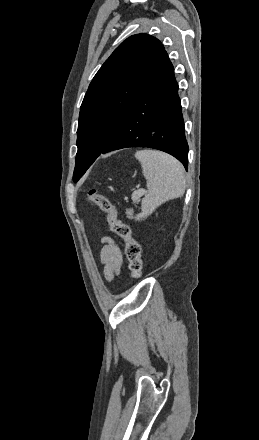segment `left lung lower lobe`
I'll list each match as a JSON object with an SVG mask.
<instances>
[{"label":"left lung lower lobe","mask_w":259,"mask_h":440,"mask_svg":"<svg viewBox=\"0 0 259 440\" xmlns=\"http://www.w3.org/2000/svg\"><path fill=\"white\" fill-rule=\"evenodd\" d=\"M127 147L164 151L177 158L187 170L188 144L178 84L165 50L148 84L100 154Z\"/></svg>","instance_id":"left-lung-lower-lobe-1"}]
</instances>
